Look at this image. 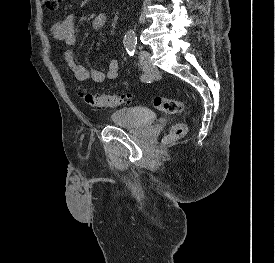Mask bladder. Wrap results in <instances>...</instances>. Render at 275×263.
Segmentation results:
<instances>
[{
	"mask_svg": "<svg viewBox=\"0 0 275 263\" xmlns=\"http://www.w3.org/2000/svg\"><path fill=\"white\" fill-rule=\"evenodd\" d=\"M156 117L155 112L144 107L120 108L110 114V119L115 125L128 129L151 125Z\"/></svg>",
	"mask_w": 275,
	"mask_h": 263,
	"instance_id": "obj_1",
	"label": "bladder"
}]
</instances>
